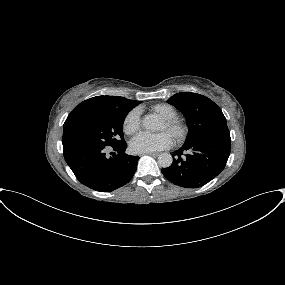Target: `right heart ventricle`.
<instances>
[{
  "mask_svg": "<svg viewBox=\"0 0 285 285\" xmlns=\"http://www.w3.org/2000/svg\"><path fill=\"white\" fill-rule=\"evenodd\" d=\"M150 111L161 119L177 116V110L167 103L154 104L150 107Z\"/></svg>",
  "mask_w": 285,
  "mask_h": 285,
  "instance_id": "right-heart-ventricle-1",
  "label": "right heart ventricle"
}]
</instances>
